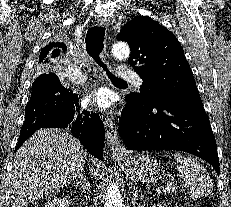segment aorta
Instances as JSON below:
<instances>
[{
  "mask_svg": "<svg viewBox=\"0 0 231 207\" xmlns=\"http://www.w3.org/2000/svg\"><path fill=\"white\" fill-rule=\"evenodd\" d=\"M111 54L117 59H127L130 56V48L125 42H117L111 48ZM123 199L118 184H109L105 196L104 207H123Z\"/></svg>",
  "mask_w": 231,
  "mask_h": 207,
  "instance_id": "1",
  "label": "aorta"
}]
</instances>
